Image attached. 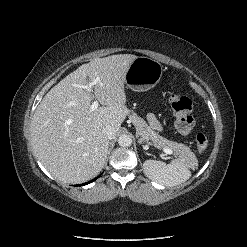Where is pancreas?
I'll return each mask as SVG.
<instances>
[{
	"mask_svg": "<svg viewBox=\"0 0 247 247\" xmlns=\"http://www.w3.org/2000/svg\"><path fill=\"white\" fill-rule=\"evenodd\" d=\"M130 120L136 127V134L140 137V141L148 142L151 141L152 144L157 148H169L174 152V155L184 161L194 160L195 155L190 150V148L184 144L173 142L167 140L166 138L160 136L155 132L148 124L139 117L136 113L130 115Z\"/></svg>",
	"mask_w": 247,
	"mask_h": 247,
	"instance_id": "1",
	"label": "pancreas"
}]
</instances>
